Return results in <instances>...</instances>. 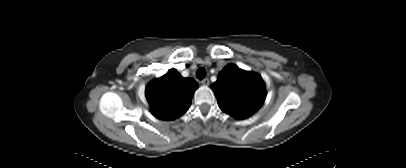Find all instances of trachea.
<instances>
[{
  "label": "trachea",
  "instance_id": "obj_1",
  "mask_svg": "<svg viewBox=\"0 0 406 168\" xmlns=\"http://www.w3.org/2000/svg\"><path fill=\"white\" fill-rule=\"evenodd\" d=\"M196 76L198 79H203L206 76V70L204 68H199L196 72Z\"/></svg>",
  "mask_w": 406,
  "mask_h": 168
}]
</instances>
